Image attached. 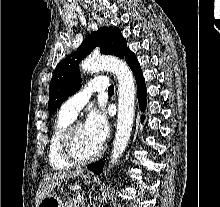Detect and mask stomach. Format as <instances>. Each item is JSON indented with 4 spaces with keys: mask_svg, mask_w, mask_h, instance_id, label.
<instances>
[{
    "mask_svg": "<svg viewBox=\"0 0 220 207\" xmlns=\"http://www.w3.org/2000/svg\"><path fill=\"white\" fill-rule=\"evenodd\" d=\"M82 181L84 184L88 185L92 182V178L89 176H83ZM37 207H64V205L57 194L50 193L41 200Z\"/></svg>",
    "mask_w": 220,
    "mask_h": 207,
    "instance_id": "1",
    "label": "stomach"
}]
</instances>
